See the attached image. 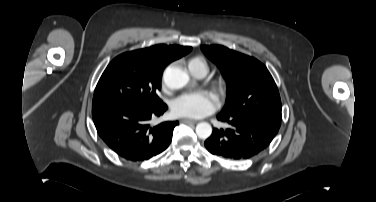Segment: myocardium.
Wrapping results in <instances>:
<instances>
[{"mask_svg":"<svg viewBox=\"0 0 376 202\" xmlns=\"http://www.w3.org/2000/svg\"><path fill=\"white\" fill-rule=\"evenodd\" d=\"M217 90L220 92L221 95L225 93V83L223 81L217 83Z\"/></svg>","mask_w":376,"mask_h":202,"instance_id":"myocardium-1","label":"myocardium"}]
</instances>
